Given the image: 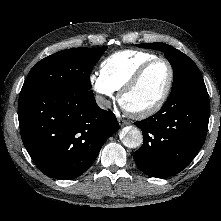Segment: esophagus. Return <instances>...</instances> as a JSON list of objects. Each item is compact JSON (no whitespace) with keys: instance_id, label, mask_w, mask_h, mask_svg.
Listing matches in <instances>:
<instances>
[{"instance_id":"1","label":"esophagus","mask_w":221,"mask_h":221,"mask_svg":"<svg viewBox=\"0 0 221 221\" xmlns=\"http://www.w3.org/2000/svg\"><path fill=\"white\" fill-rule=\"evenodd\" d=\"M118 122H119L120 126H124V125L128 124V122L126 120L121 119V118L118 119Z\"/></svg>"}]
</instances>
